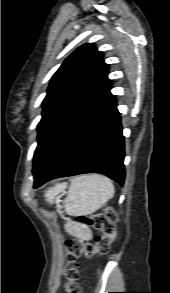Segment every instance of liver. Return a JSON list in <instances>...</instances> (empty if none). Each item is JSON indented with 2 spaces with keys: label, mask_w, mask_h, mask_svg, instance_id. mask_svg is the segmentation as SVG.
Segmentation results:
<instances>
[{
  "label": "liver",
  "mask_w": 170,
  "mask_h": 293,
  "mask_svg": "<svg viewBox=\"0 0 170 293\" xmlns=\"http://www.w3.org/2000/svg\"><path fill=\"white\" fill-rule=\"evenodd\" d=\"M66 185L65 184H62V185H60L59 187H61V188H64ZM54 194L55 193H51L50 191L47 193V198H48V200H52L53 199V196H54Z\"/></svg>",
  "instance_id": "liver-1"
}]
</instances>
